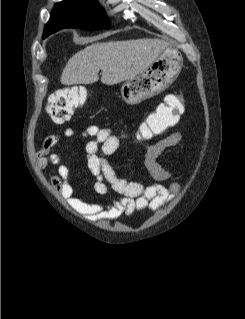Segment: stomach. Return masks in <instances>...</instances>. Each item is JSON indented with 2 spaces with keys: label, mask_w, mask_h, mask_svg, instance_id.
I'll list each match as a JSON object with an SVG mask.
<instances>
[{
  "label": "stomach",
  "mask_w": 245,
  "mask_h": 319,
  "mask_svg": "<svg viewBox=\"0 0 245 319\" xmlns=\"http://www.w3.org/2000/svg\"><path fill=\"white\" fill-rule=\"evenodd\" d=\"M183 57L178 50L166 48L143 72L126 80L121 97L128 105H136L167 89L178 77Z\"/></svg>",
  "instance_id": "0dacf381"
}]
</instances>
